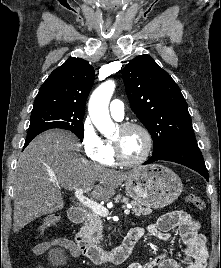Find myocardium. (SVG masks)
<instances>
[{
	"label": "myocardium",
	"mask_w": 221,
	"mask_h": 268,
	"mask_svg": "<svg viewBox=\"0 0 221 268\" xmlns=\"http://www.w3.org/2000/svg\"><path fill=\"white\" fill-rule=\"evenodd\" d=\"M120 128L122 130H129V129L140 130L145 136L146 147H145L143 154L139 158L134 159V160H129L123 156L118 143L112 140V147L114 151L115 160L119 164L124 165V166H137L145 162L147 158L149 157V155L151 154L152 149H153V137L149 129L145 127L144 125L140 123H135V122L124 123L121 125Z\"/></svg>",
	"instance_id": "1"
}]
</instances>
